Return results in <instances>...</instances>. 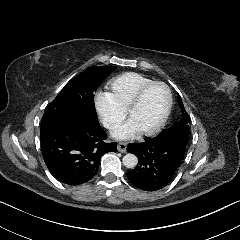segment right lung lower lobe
Wrapping results in <instances>:
<instances>
[{
	"mask_svg": "<svg viewBox=\"0 0 240 240\" xmlns=\"http://www.w3.org/2000/svg\"><path fill=\"white\" fill-rule=\"evenodd\" d=\"M98 120L85 117L41 129V150L52 175L68 185H79L96 175L101 156L117 152V143H106Z\"/></svg>",
	"mask_w": 240,
	"mask_h": 240,
	"instance_id": "obj_1",
	"label": "right lung lower lobe"
}]
</instances>
